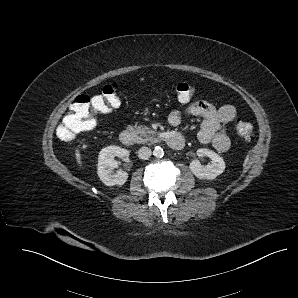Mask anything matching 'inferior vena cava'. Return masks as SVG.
Instances as JSON below:
<instances>
[{
    "label": "inferior vena cava",
    "mask_w": 298,
    "mask_h": 298,
    "mask_svg": "<svg viewBox=\"0 0 298 298\" xmlns=\"http://www.w3.org/2000/svg\"><path fill=\"white\" fill-rule=\"evenodd\" d=\"M152 151L148 147H142L138 150V158L142 160H147L151 157Z\"/></svg>",
    "instance_id": "inferior-vena-cava-1"
}]
</instances>
